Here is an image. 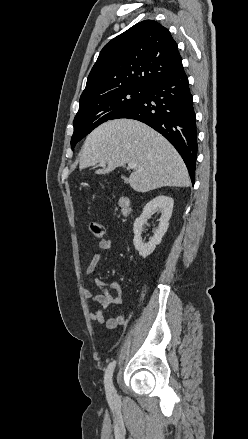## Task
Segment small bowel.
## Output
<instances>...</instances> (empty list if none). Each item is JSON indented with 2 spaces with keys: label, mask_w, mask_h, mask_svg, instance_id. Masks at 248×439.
<instances>
[{
  "label": "small bowel",
  "mask_w": 248,
  "mask_h": 439,
  "mask_svg": "<svg viewBox=\"0 0 248 439\" xmlns=\"http://www.w3.org/2000/svg\"><path fill=\"white\" fill-rule=\"evenodd\" d=\"M110 247L111 242L107 239H103L99 242L100 251H106L110 249ZM101 259L102 254L100 252L94 254L86 268L87 275H90L94 272ZM95 285L99 289L97 293H93L89 288L83 289L85 299L91 300L95 304H100L104 309H108L111 305L123 304V290L118 281H104L102 279H96ZM132 316L133 312H131L128 316L118 315L115 317L106 318L100 309H95L89 314V317L92 321L109 329L125 326Z\"/></svg>",
  "instance_id": "c3829d8e"
}]
</instances>
